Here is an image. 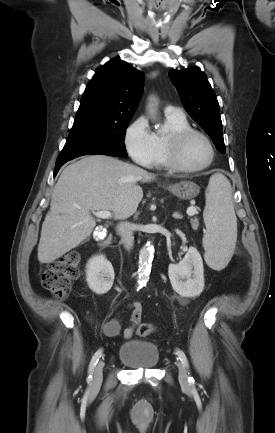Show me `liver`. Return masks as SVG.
<instances>
[{
  "instance_id": "1",
  "label": "liver",
  "mask_w": 275,
  "mask_h": 433,
  "mask_svg": "<svg viewBox=\"0 0 275 433\" xmlns=\"http://www.w3.org/2000/svg\"><path fill=\"white\" fill-rule=\"evenodd\" d=\"M155 175L106 155L83 157L61 173L38 244L40 263H52L87 239L95 225L90 211H112L116 219L132 216L143 198L138 181Z\"/></svg>"
}]
</instances>
